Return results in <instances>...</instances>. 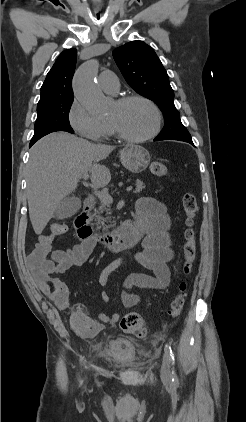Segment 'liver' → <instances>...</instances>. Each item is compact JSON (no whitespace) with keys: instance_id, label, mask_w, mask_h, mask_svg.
Instances as JSON below:
<instances>
[{"instance_id":"1","label":"liver","mask_w":246,"mask_h":422,"mask_svg":"<svg viewBox=\"0 0 246 422\" xmlns=\"http://www.w3.org/2000/svg\"><path fill=\"white\" fill-rule=\"evenodd\" d=\"M114 149L66 132L51 133L35 143L27 166V200L36 234L42 233L59 203L77 188L83 174H91L95 187L110 182V170L99 162Z\"/></svg>"}]
</instances>
